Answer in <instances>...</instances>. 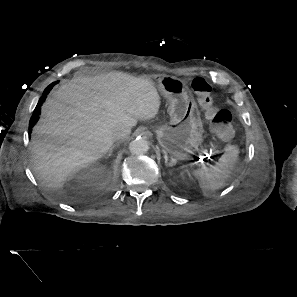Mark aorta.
<instances>
[{"instance_id": "762f6f07", "label": "aorta", "mask_w": 297, "mask_h": 297, "mask_svg": "<svg viewBox=\"0 0 297 297\" xmlns=\"http://www.w3.org/2000/svg\"><path fill=\"white\" fill-rule=\"evenodd\" d=\"M129 150L132 154L143 155L149 150V144L143 138L135 139L130 142Z\"/></svg>"}]
</instances>
